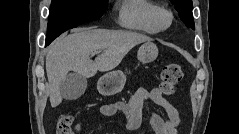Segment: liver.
<instances>
[{
    "label": "liver",
    "mask_w": 239,
    "mask_h": 134,
    "mask_svg": "<svg viewBox=\"0 0 239 134\" xmlns=\"http://www.w3.org/2000/svg\"><path fill=\"white\" fill-rule=\"evenodd\" d=\"M147 41L151 38L137 32L89 28L57 39L46 56L51 106L56 107L62 102L60 86L69 71L85 78L93 77L97 71H110L134 46ZM96 50L102 54L93 61L90 54Z\"/></svg>",
    "instance_id": "obj_1"
}]
</instances>
